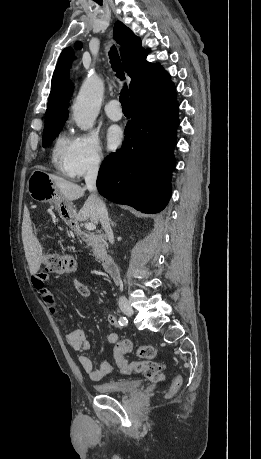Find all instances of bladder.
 Returning <instances> with one entry per match:
<instances>
[{
  "label": "bladder",
  "instance_id": "bladder-1",
  "mask_svg": "<svg viewBox=\"0 0 261 459\" xmlns=\"http://www.w3.org/2000/svg\"><path fill=\"white\" fill-rule=\"evenodd\" d=\"M141 386L138 379H114L96 384L95 389L103 394H127L137 391Z\"/></svg>",
  "mask_w": 261,
  "mask_h": 459
}]
</instances>
